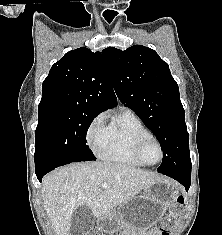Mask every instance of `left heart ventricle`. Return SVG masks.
<instances>
[{
  "label": "left heart ventricle",
  "mask_w": 222,
  "mask_h": 235,
  "mask_svg": "<svg viewBox=\"0 0 222 235\" xmlns=\"http://www.w3.org/2000/svg\"><path fill=\"white\" fill-rule=\"evenodd\" d=\"M143 158L148 163H156L160 158V150L153 141L148 142L143 148Z\"/></svg>",
  "instance_id": "1"
}]
</instances>
